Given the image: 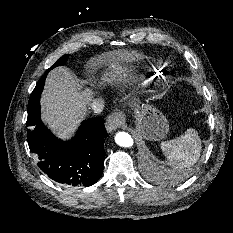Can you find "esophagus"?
Segmentation results:
<instances>
[{
	"mask_svg": "<svg viewBox=\"0 0 233 233\" xmlns=\"http://www.w3.org/2000/svg\"><path fill=\"white\" fill-rule=\"evenodd\" d=\"M125 123V116L122 112H114L107 117L105 127L109 133H112L117 128H120Z\"/></svg>",
	"mask_w": 233,
	"mask_h": 233,
	"instance_id": "esophagus-1",
	"label": "esophagus"
}]
</instances>
